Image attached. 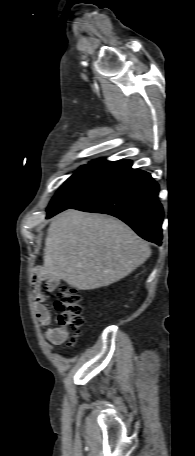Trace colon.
Returning a JSON list of instances; mask_svg holds the SVG:
<instances>
[{"label":"colon","mask_w":195,"mask_h":456,"mask_svg":"<svg viewBox=\"0 0 195 456\" xmlns=\"http://www.w3.org/2000/svg\"><path fill=\"white\" fill-rule=\"evenodd\" d=\"M81 295L73 287L64 285L60 288L55 308L58 311V323L63 328L71 331L70 342L73 343L83 324Z\"/></svg>","instance_id":"5ec220e1"}]
</instances>
